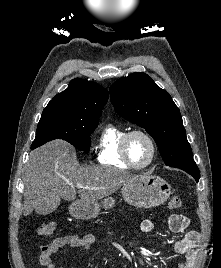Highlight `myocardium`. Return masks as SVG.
<instances>
[{"label": "myocardium", "mask_w": 221, "mask_h": 268, "mask_svg": "<svg viewBox=\"0 0 221 268\" xmlns=\"http://www.w3.org/2000/svg\"><path fill=\"white\" fill-rule=\"evenodd\" d=\"M134 135H142L143 137H145L147 139V141L149 142L150 147H151L150 158L145 164H142V165H137V164L133 163L129 157L128 142H129L130 138ZM120 151H121L122 159L130 168L140 170V169H144L152 164V162L155 159L156 153H157V147H156L155 140L147 131L142 130V129H134V130H130V131L126 132L124 134V136L122 137L121 144H120Z\"/></svg>", "instance_id": "1"}]
</instances>
